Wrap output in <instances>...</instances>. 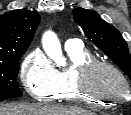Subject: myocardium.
<instances>
[{"label": "myocardium", "instance_id": "f54148a6", "mask_svg": "<svg viewBox=\"0 0 131 115\" xmlns=\"http://www.w3.org/2000/svg\"><path fill=\"white\" fill-rule=\"evenodd\" d=\"M100 68H105L115 73L125 86V97L130 94V85L124 74L113 64L99 59L88 61L77 68L74 80L76 91L87 98L95 99L103 103H118L123 101L125 97H110L93 89L91 78L93 73Z\"/></svg>", "mask_w": 131, "mask_h": 115}]
</instances>
